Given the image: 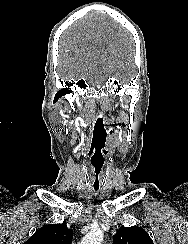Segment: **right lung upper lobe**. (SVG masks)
Listing matches in <instances>:
<instances>
[{"mask_svg": "<svg viewBox=\"0 0 188 244\" xmlns=\"http://www.w3.org/2000/svg\"><path fill=\"white\" fill-rule=\"evenodd\" d=\"M73 231L66 224L45 225L23 244H70Z\"/></svg>", "mask_w": 188, "mask_h": 244, "instance_id": "1", "label": "right lung upper lobe"}]
</instances>
